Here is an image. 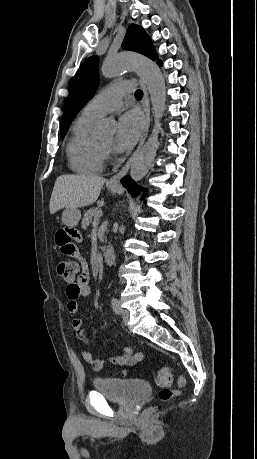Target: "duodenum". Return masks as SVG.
Wrapping results in <instances>:
<instances>
[{
    "mask_svg": "<svg viewBox=\"0 0 257 459\" xmlns=\"http://www.w3.org/2000/svg\"><path fill=\"white\" fill-rule=\"evenodd\" d=\"M103 262L106 265H112L115 262V251L112 247L106 248L102 254Z\"/></svg>",
    "mask_w": 257,
    "mask_h": 459,
    "instance_id": "410a0bca",
    "label": "duodenum"
}]
</instances>
